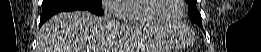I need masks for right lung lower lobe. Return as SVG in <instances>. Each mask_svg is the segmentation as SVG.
<instances>
[{
    "label": "right lung lower lobe",
    "instance_id": "obj_1",
    "mask_svg": "<svg viewBox=\"0 0 261 52\" xmlns=\"http://www.w3.org/2000/svg\"><path fill=\"white\" fill-rule=\"evenodd\" d=\"M72 10H88L99 16L104 14L100 6H95L81 0H43L39 27L52 15Z\"/></svg>",
    "mask_w": 261,
    "mask_h": 52
}]
</instances>
